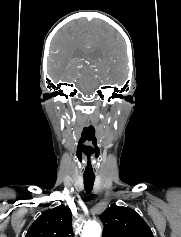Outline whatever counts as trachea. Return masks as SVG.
<instances>
[{"label":"trachea","mask_w":181,"mask_h":237,"mask_svg":"<svg viewBox=\"0 0 181 237\" xmlns=\"http://www.w3.org/2000/svg\"><path fill=\"white\" fill-rule=\"evenodd\" d=\"M94 180H95V178L84 177V187H85V190L87 193L91 192V190L93 188Z\"/></svg>","instance_id":"1"}]
</instances>
